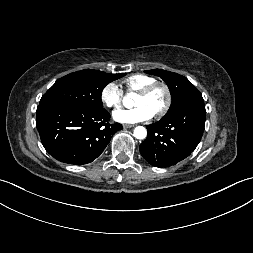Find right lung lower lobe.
<instances>
[{
  "label": "right lung lower lobe",
  "mask_w": 253,
  "mask_h": 253,
  "mask_svg": "<svg viewBox=\"0 0 253 253\" xmlns=\"http://www.w3.org/2000/svg\"><path fill=\"white\" fill-rule=\"evenodd\" d=\"M36 127L46 151L55 159L73 165L94 161L106 148L112 135L122 129L109 124L107 110L39 104Z\"/></svg>",
  "instance_id": "98d812e1"
}]
</instances>
